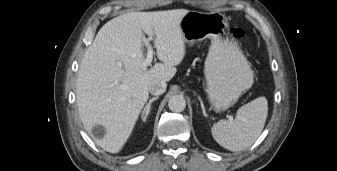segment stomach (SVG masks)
<instances>
[{"label": "stomach", "instance_id": "1", "mask_svg": "<svg viewBox=\"0 0 337 171\" xmlns=\"http://www.w3.org/2000/svg\"><path fill=\"white\" fill-rule=\"evenodd\" d=\"M184 41L193 45L211 40L205 61L206 92L216 112L233 106L254 81L251 65L238 43L228 35L227 17L218 12L189 11L181 20Z\"/></svg>", "mask_w": 337, "mask_h": 171}]
</instances>
